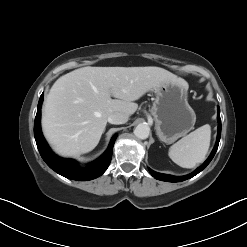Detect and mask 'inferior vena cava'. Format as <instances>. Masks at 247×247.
I'll return each mask as SVG.
<instances>
[{"mask_svg": "<svg viewBox=\"0 0 247 247\" xmlns=\"http://www.w3.org/2000/svg\"><path fill=\"white\" fill-rule=\"evenodd\" d=\"M129 116L123 112H113L108 116V122L111 124H124L128 121Z\"/></svg>", "mask_w": 247, "mask_h": 247, "instance_id": "obj_1", "label": "inferior vena cava"}]
</instances>
